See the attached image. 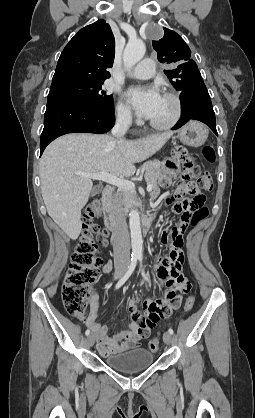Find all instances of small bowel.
I'll return each instance as SVG.
<instances>
[{
	"instance_id": "small-bowel-1",
	"label": "small bowel",
	"mask_w": 255,
	"mask_h": 418,
	"mask_svg": "<svg viewBox=\"0 0 255 418\" xmlns=\"http://www.w3.org/2000/svg\"><path fill=\"white\" fill-rule=\"evenodd\" d=\"M192 156L188 153L187 147H174L172 160L166 162L162 175V184L169 185L175 177L179 163H191ZM188 192L187 188L181 186L177 189L175 197L180 198ZM158 193H154L156 198ZM167 203L171 200L167 199ZM177 207V205L174 207ZM186 230L184 222L181 221L178 227L167 228L166 233H162V243L170 242V247L160 250L161 255L157 258L155 274L163 282L165 293L162 298H147L143 302L145 315L141 317L136 314L133 303L129 305V310L134 314V320L113 336L107 335V327L97 321L98 317V293L95 289L90 291V312L86 319V324L91 327L97 341V348L103 357L112 354L126 352L138 346L140 341L146 338L150 330L154 328L160 320H170L174 311H178L183 306V301L191 292V277L184 274V242L182 241ZM112 268V262L106 261L103 272L108 273Z\"/></svg>"
}]
</instances>
